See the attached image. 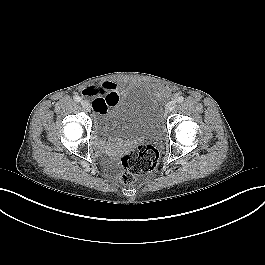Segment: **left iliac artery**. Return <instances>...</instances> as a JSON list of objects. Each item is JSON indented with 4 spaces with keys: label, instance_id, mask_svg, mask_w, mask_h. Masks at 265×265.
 Listing matches in <instances>:
<instances>
[{
    "label": "left iliac artery",
    "instance_id": "obj_1",
    "mask_svg": "<svg viewBox=\"0 0 265 265\" xmlns=\"http://www.w3.org/2000/svg\"><path fill=\"white\" fill-rule=\"evenodd\" d=\"M184 101V97L183 96H179L176 98V102L177 103H182Z\"/></svg>",
    "mask_w": 265,
    "mask_h": 265
}]
</instances>
